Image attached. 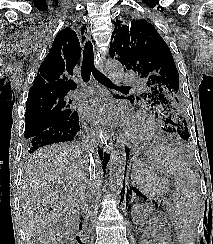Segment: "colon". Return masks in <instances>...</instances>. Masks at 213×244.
Segmentation results:
<instances>
[{"label":"colon","mask_w":213,"mask_h":244,"mask_svg":"<svg viewBox=\"0 0 213 244\" xmlns=\"http://www.w3.org/2000/svg\"><path fill=\"white\" fill-rule=\"evenodd\" d=\"M40 244H48V243H40Z\"/></svg>","instance_id":"1"}]
</instances>
